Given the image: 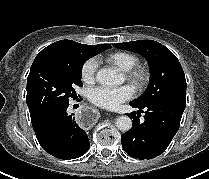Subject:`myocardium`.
I'll return each instance as SVG.
<instances>
[{
    "label": "myocardium",
    "mask_w": 209,
    "mask_h": 179,
    "mask_svg": "<svg viewBox=\"0 0 209 179\" xmlns=\"http://www.w3.org/2000/svg\"><path fill=\"white\" fill-rule=\"evenodd\" d=\"M125 77L136 90L142 91L148 86L151 75L147 67L135 65L125 72Z\"/></svg>",
    "instance_id": "obj_1"
}]
</instances>
